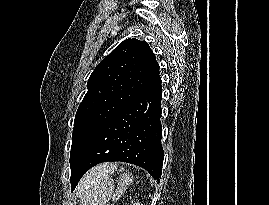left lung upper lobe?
<instances>
[{"label":"left lung upper lobe","instance_id":"obj_1","mask_svg":"<svg viewBox=\"0 0 269 205\" xmlns=\"http://www.w3.org/2000/svg\"><path fill=\"white\" fill-rule=\"evenodd\" d=\"M158 76L148 43L135 38L120 43L96 66L74 120L71 173L99 130Z\"/></svg>","mask_w":269,"mask_h":205}]
</instances>
